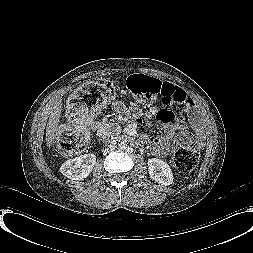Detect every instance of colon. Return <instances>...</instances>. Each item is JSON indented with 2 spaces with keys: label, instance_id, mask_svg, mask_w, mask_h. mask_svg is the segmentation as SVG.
I'll return each instance as SVG.
<instances>
[{
  "label": "colon",
  "instance_id": "5ec220e1",
  "mask_svg": "<svg viewBox=\"0 0 253 253\" xmlns=\"http://www.w3.org/2000/svg\"><path fill=\"white\" fill-rule=\"evenodd\" d=\"M129 92L143 104L161 102L169 104L178 100L173 84L145 74H132L127 79ZM116 96L115 85L105 79L82 84L67 104V122L58 129L56 150L62 155L83 152L88 145L86 122L108 101ZM198 154L188 148H180L174 154L176 169L188 174L196 167Z\"/></svg>",
  "mask_w": 253,
  "mask_h": 253
}]
</instances>
